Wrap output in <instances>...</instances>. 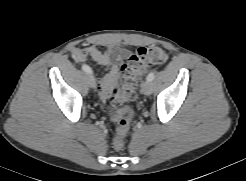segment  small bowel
<instances>
[{
    "label": "small bowel",
    "mask_w": 246,
    "mask_h": 181,
    "mask_svg": "<svg viewBox=\"0 0 246 181\" xmlns=\"http://www.w3.org/2000/svg\"><path fill=\"white\" fill-rule=\"evenodd\" d=\"M71 56L76 62H83L87 58H91L97 64L106 67V73L96 80L99 97L103 102H106L112 89L119 83L120 65L128 56V51L120 47L102 48L90 45L73 48Z\"/></svg>",
    "instance_id": "1"
}]
</instances>
